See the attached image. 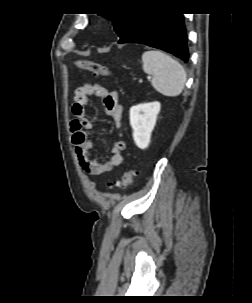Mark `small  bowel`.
Returning a JSON list of instances; mask_svg holds the SVG:
<instances>
[{
  "instance_id": "small-bowel-1",
  "label": "small bowel",
  "mask_w": 252,
  "mask_h": 303,
  "mask_svg": "<svg viewBox=\"0 0 252 303\" xmlns=\"http://www.w3.org/2000/svg\"><path fill=\"white\" fill-rule=\"evenodd\" d=\"M93 96L102 98L104 111L106 115L113 119L116 130L122 124L123 107L117 92L109 90L100 84L84 83L75 92L73 112L77 116V120L72 124V143L82 169L91 176H100L113 171L123 163L126 143L115 135L109 159L101 162L91 157L90 152L93 148V141L87 137L85 131L91 130L93 123L86 117L85 107Z\"/></svg>"
}]
</instances>
